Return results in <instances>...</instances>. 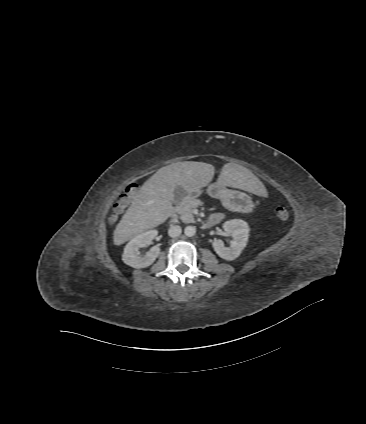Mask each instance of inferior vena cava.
I'll return each mask as SVG.
<instances>
[{"mask_svg":"<svg viewBox=\"0 0 366 424\" xmlns=\"http://www.w3.org/2000/svg\"><path fill=\"white\" fill-rule=\"evenodd\" d=\"M181 232H182V229L178 225H172L168 230V234L172 238L178 237L181 234Z\"/></svg>","mask_w":366,"mask_h":424,"instance_id":"1","label":"inferior vena cava"}]
</instances>
